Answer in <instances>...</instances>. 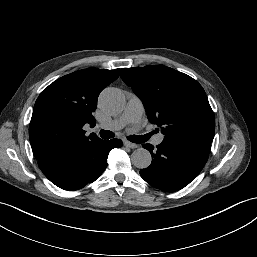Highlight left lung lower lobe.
Masks as SVG:
<instances>
[{
	"instance_id": "0a47b994",
	"label": "left lung lower lobe",
	"mask_w": 257,
	"mask_h": 257,
	"mask_svg": "<svg viewBox=\"0 0 257 257\" xmlns=\"http://www.w3.org/2000/svg\"><path fill=\"white\" fill-rule=\"evenodd\" d=\"M152 155V163L140 170L150 185L166 192H174L188 185L204 167L210 152L211 139H164L154 148L144 144Z\"/></svg>"
}]
</instances>
